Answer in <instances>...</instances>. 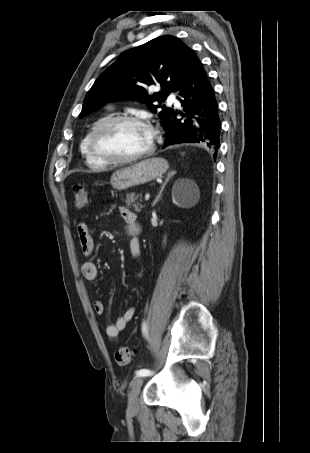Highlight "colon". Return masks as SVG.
Here are the masks:
<instances>
[{"label": "colon", "mask_w": 310, "mask_h": 453, "mask_svg": "<svg viewBox=\"0 0 310 453\" xmlns=\"http://www.w3.org/2000/svg\"><path fill=\"white\" fill-rule=\"evenodd\" d=\"M74 200L77 208H84L88 204V193L84 186L75 185L73 187ZM133 352L129 347H121L115 352L116 363L126 366L131 362Z\"/></svg>", "instance_id": "colon-1"}]
</instances>
